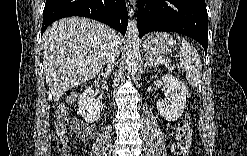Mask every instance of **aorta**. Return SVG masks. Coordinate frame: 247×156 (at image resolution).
Instances as JSON below:
<instances>
[{
	"label": "aorta",
	"instance_id": "obj_1",
	"mask_svg": "<svg viewBox=\"0 0 247 156\" xmlns=\"http://www.w3.org/2000/svg\"><path fill=\"white\" fill-rule=\"evenodd\" d=\"M126 42V64L132 74H135L139 56V31L135 19L130 20L128 23Z\"/></svg>",
	"mask_w": 247,
	"mask_h": 156
}]
</instances>
